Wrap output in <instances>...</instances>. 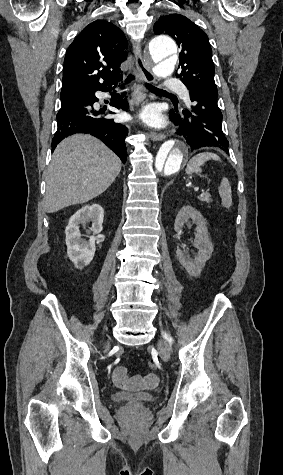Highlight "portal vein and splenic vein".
<instances>
[{"instance_id": "18ae733b", "label": "portal vein and splenic vein", "mask_w": 283, "mask_h": 475, "mask_svg": "<svg viewBox=\"0 0 283 475\" xmlns=\"http://www.w3.org/2000/svg\"><path fill=\"white\" fill-rule=\"evenodd\" d=\"M199 193H200V195H202V196H203V195H205V194H206V191L202 189V190H200V192H199Z\"/></svg>"}]
</instances>
